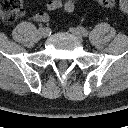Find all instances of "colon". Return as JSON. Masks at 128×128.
I'll list each match as a JSON object with an SVG mask.
<instances>
[{
  "mask_svg": "<svg viewBox=\"0 0 128 128\" xmlns=\"http://www.w3.org/2000/svg\"><path fill=\"white\" fill-rule=\"evenodd\" d=\"M99 5L111 8L115 5L116 0H96ZM120 8L128 14V0H119ZM76 0H67L64 3V10L67 13L74 12ZM23 12L22 0H0V17L7 23L13 22Z\"/></svg>",
  "mask_w": 128,
  "mask_h": 128,
  "instance_id": "1",
  "label": "colon"
}]
</instances>
